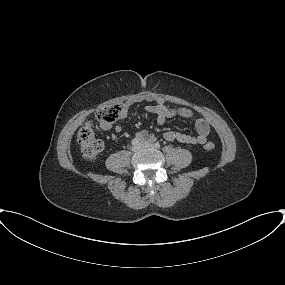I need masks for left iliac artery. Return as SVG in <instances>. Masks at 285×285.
<instances>
[{
  "label": "left iliac artery",
  "mask_w": 285,
  "mask_h": 285,
  "mask_svg": "<svg viewBox=\"0 0 285 285\" xmlns=\"http://www.w3.org/2000/svg\"><path fill=\"white\" fill-rule=\"evenodd\" d=\"M154 145L156 148H160V144L158 142H156Z\"/></svg>",
  "instance_id": "44dca946"
}]
</instances>
